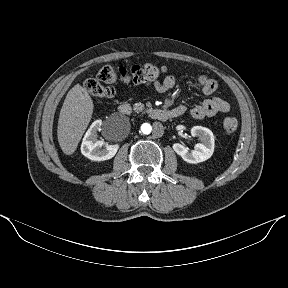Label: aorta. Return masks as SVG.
I'll list each match as a JSON object with an SVG mask.
<instances>
[{"label": "aorta", "mask_w": 288, "mask_h": 288, "mask_svg": "<svg viewBox=\"0 0 288 288\" xmlns=\"http://www.w3.org/2000/svg\"><path fill=\"white\" fill-rule=\"evenodd\" d=\"M152 132V126L150 124H141L137 128V133L141 137H146Z\"/></svg>", "instance_id": "762f6f07"}]
</instances>
